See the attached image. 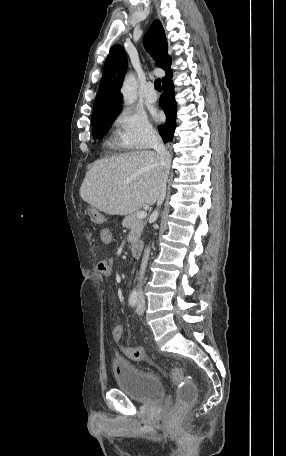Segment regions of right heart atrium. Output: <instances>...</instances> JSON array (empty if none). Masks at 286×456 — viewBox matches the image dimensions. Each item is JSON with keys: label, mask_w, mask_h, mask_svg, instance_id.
<instances>
[{"label": "right heart atrium", "mask_w": 286, "mask_h": 456, "mask_svg": "<svg viewBox=\"0 0 286 456\" xmlns=\"http://www.w3.org/2000/svg\"><path fill=\"white\" fill-rule=\"evenodd\" d=\"M115 136L122 148L144 149L157 139V133L145 114L122 109L114 119Z\"/></svg>", "instance_id": "right-heart-atrium-1"}]
</instances>
